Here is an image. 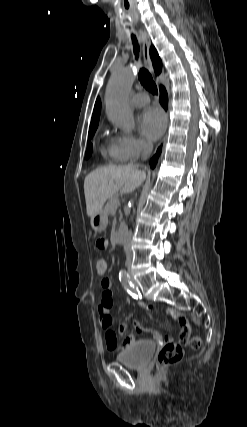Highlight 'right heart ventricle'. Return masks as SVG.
<instances>
[{"mask_svg":"<svg viewBox=\"0 0 247 427\" xmlns=\"http://www.w3.org/2000/svg\"><path fill=\"white\" fill-rule=\"evenodd\" d=\"M104 154L109 156L111 159L116 160V161H120L118 158V154H117V150H116V146L114 144V142H112L111 144H109L105 149H104Z\"/></svg>","mask_w":247,"mask_h":427,"instance_id":"obj_1","label":"right heart ventricle"}]
</instances>
